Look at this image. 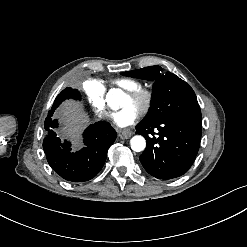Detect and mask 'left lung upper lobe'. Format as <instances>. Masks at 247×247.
<instances>
[{
  "label": "left lung upper lobe",
  "mask_w": 247,
  "mask_h": 247,
  "mask_svg": "<svg viewBox=\"0 0 247 247\" xmlns=\"http://www.w3.org/2000/svg\"><path fill=\"white\" fill-rule=\"evenodd\" d=\"M123 75L154 81L151 106L143 125H152L169 118H187L201 123V111L193 89L173 73L161 72L160 66H150Z\"/></svg>",
  "instance_id": "obj_1"
}]
</instances>
